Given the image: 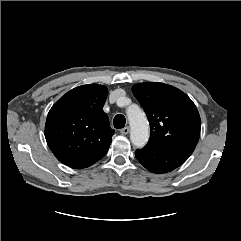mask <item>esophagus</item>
<instances>
[{"mask_svg":"<svg viewBox=\"0 0 241 241\" xmlns=\"http://www.w3.org/2000/svg\"><path fill=\"white\" fill-rule=\"evenodd\" d=\"M129 131H130L129 127H124L120 130V133L122 135H127L129 133Z\"/></svg>","mask_w":241,"mask_h":241,"instance_id":"34e87169","label":"esophagus"}]
</instances>
